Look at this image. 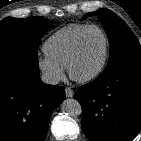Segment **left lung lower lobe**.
Wrapping results in <instances>:
<instances>
[{
	"label": "left lung lower lobe",
	"instance_id": "obj_1",
	"mask_svg": "<svg viewBox=\"0 0 141 141\" xmlns=\"http://www.w3.org/2000/svg\"><path fill=\"white\" fill-rule=\"evenodd\" d=\"M75 98L90 141H131L141 130V60L105 69L81 86Z\"/></svg>",
	"mask_w": 141,
	"mask_h": 141
}]
</instances>
